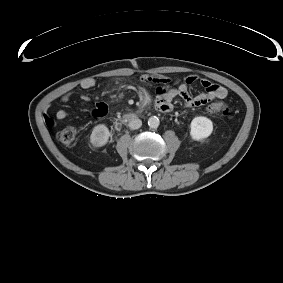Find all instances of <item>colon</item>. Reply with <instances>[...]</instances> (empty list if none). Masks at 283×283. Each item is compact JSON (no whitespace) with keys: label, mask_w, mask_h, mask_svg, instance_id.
Instances as JSON below:
<instances>
[{"label":"colon","mask_w":283,"mask_h":283,"mask_svg":"<svg viewBox=\"0 0 283 283\" xmlns=\"http://www.w3.org/2000/svg\"><path fill=\"white\" fill-rule=\"evenodd\" d=\"M206 111L211 116L224 117L228 115L229 108L225 102L217 101L209 104L206 107ZM76 135L77 133L74 128H64L58 132L57 139L62 145L70 147L74 145L76 141Z\"/></svg>","instance_id":"obj_1"}]
</instances>
